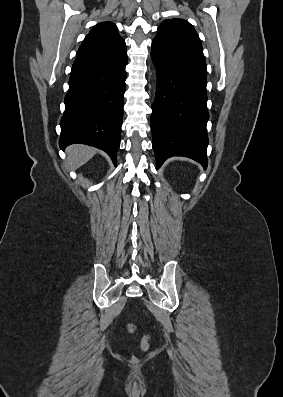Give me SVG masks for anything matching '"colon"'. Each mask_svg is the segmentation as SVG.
I'll use <instances>...</instances> for the list:
<instances>
[{
	"label": "colon",
	"mask_w": 283,
	"mask_h": 397,
	"mask_svg": "<svg viewBox=\"0 0 283 397\" xmlns=\"http://www.w3.org/2000/svg\"><path fill=\"white\" fill-rule=\"evenodd\" d=\"M129 328H130V330H134L135 327H134V325H130ZM147 345H148L147 339H144V340H143V343H142L143 349H146V348H147Z\"/></svg>",
	"instance_id": "colon-1"
}]
</instances>
